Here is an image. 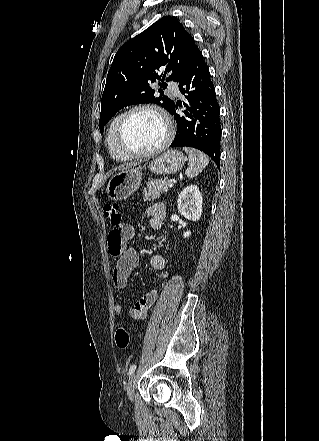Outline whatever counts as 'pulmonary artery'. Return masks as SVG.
<instances>
[{"label":"pulmonary artery","instance_id":"1","mask_svg":"<svg viewBox=\"0 0 319 441\" xmlns=\"http://www.w3.org/2000/svg\"><path fill=\"white\" fill-rule=\"evenodd\" d=\"M168 90L174 96H178L180 94L178 86L172 81L168 82Z\"/></svg>","mask_w":319,"mask_h":441}]
</instances>
